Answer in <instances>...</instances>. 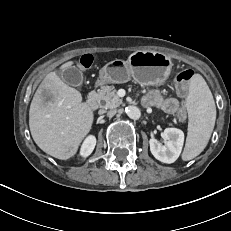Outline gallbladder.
<instances>
[{
	"label": "gallbladder",
	"mask_w": 231,
	"mask_h": 231,
	"mask_svg": "<svg viewBox=\"0 0 231 231\" xmlns=\"http://www.w3.org/2000/svg\"><path fill=\"white\" fill-rule=\"evenodd\" d=\"M59 75L61 76L62 81L70 86H79L83 81L82 72L76 67L64 69L59 73Z\"/></svg>",
	"instance_id": "1"
}]
</instances>
